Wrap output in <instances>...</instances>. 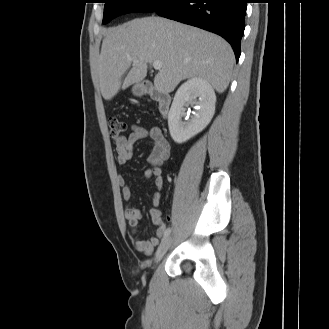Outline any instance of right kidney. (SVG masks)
I'll return each instance as SVG.
<instances>
[{"label":"right kidney","mask_w":329,"mask_h":329,"mask_svg":"<svg viewBox=\"0 0 329 329\" xmlns=\"http://www.w3.org/2000/svg\"><path fill=\"white\" fill-rule=\"evenodd\" d=\"M198 98V101L196 100ZM216 95L212 86L201 78H192L177 90L169 114L168 126L172 139L184 143L201 132L215 112ZM197 105V111L189 122L181 121L186 105Z\"/></svg>","instance_id":"obj_1"}]
</instances>
